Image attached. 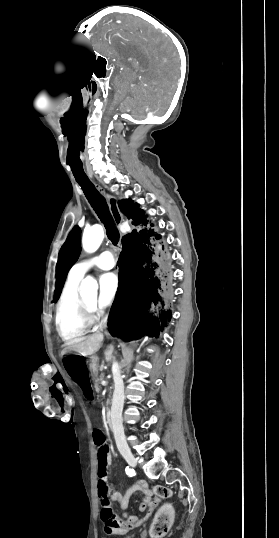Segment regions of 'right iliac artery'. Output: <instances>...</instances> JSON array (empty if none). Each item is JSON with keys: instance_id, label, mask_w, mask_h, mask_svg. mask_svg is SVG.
<instances>
[{"instance_id": "82829eb1", "label": "right iliac artery", "mask_w": 279, "mask_h": 538, "mask_svg": "<svg viewBox=\"0 0 279 538\" xmlns=\"http://www.w3.org/2000/svg\"><path fill=\"white\" fill-rule=\"evenodd\" d=\"M126 473L128 476L132 477L135 475V471L129 467H126Z\"/></svg>"}]
</instances>
